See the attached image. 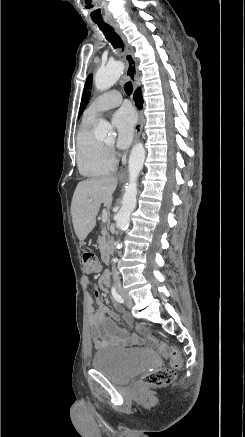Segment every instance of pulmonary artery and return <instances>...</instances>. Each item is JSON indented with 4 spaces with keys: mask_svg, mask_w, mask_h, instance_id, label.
<instances>
[{
    "mask_svg": "<svg viewBox=\"0 0 245 437\" xmlns=\"http://www.w3.org/2000/svg\"><path fill=\"white\" fill-rule=\"evenodd\" d=\"M122 102V95L117 90L108 91L95 98L85 111V116L95 118L102 112L115 108Z\"/></svg>",
    "mask_w": 245,
    "mask_h": 437,
    "instance_id": "1",
    "label": "pulmonary artery"
}]
</instances>
